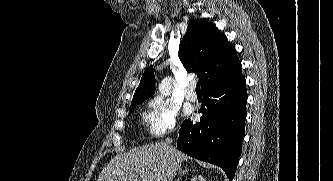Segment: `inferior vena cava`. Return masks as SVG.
Segmentation results:
<instances>
[{
  "label": "inferior vena cava",
  "instance_id": "1",
  "mask_svg": "<svg viewBox=\"0 0 333 181\" xmlns=\"http://www.w3.org/2000/svg\"><path fill=\"white\" fill-rule=\"evenodd\" d=\"M172 139L171 138H166L164 145L167 147H171Z\"/></svg>",
  "mask_w": 333,
  "mask_h": 181
}]
</instances>
